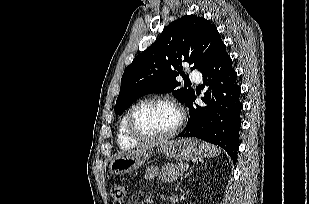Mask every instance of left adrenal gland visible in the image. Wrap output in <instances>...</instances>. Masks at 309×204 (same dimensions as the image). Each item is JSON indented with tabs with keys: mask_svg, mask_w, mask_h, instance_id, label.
<instances>
[{
	"mask_svg": "<svg viewBox=\"0 0 309 204\" xmlns=\"http://www.w3.org/2000/svg\"><path fill=\"white\" fill-rule=\"evenodd\" d=\"M194 170H191L189 171L185 176L184 178L188 177L189 175H191V173H193ZM183 180V177H181L180 181L177 183L176 185V188H175V191H177L179 188H180V185H181V181Z\"/></svg>",
	"mask_w": 309,
	"mask_h": 204,
	"instance_id": "1",
	"label": "left adrenal gland"
}]
</instances>
